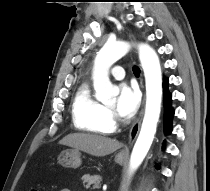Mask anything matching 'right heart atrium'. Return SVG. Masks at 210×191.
Returning <instances> with one entry per match:
<instances>
[{
  "label": "right heart atrium",
  "mask_w": 210,
  "mask_h": 191,
  "mask_svg": "<svg viewBox=\"0 0 210 191\" xmlns=\"http://www.w3.org/2000/svg\"><path fill=\"white\" fill-rule=\"evenodd\" d=\"M109 116H112V113L111 112H109Z\"/></svg>",
  "instance_id": "right-heart-atrium-1"
}]
</instances>
